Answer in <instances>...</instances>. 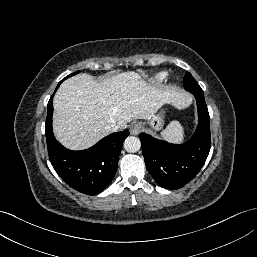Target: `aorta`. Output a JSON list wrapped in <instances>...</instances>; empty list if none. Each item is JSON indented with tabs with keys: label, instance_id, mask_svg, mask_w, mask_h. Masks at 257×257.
<instances>
[{
	"label": "aorta",
	"instance_id": "obj_1",
	"mask_svg": "<svg viewBox=\"0 0 257 257\" xmlns=\"http://www.w3.org/2000/svg\"><path fill=\"white\" fill-rule=\"evenodd\" d=\"M141 148L140 139L137 137L129 136L124 141V149L129 153L137 152Z\"/></svg>",
	"mask_w": 257,
	"mask_h": 257
}]
</instances>
